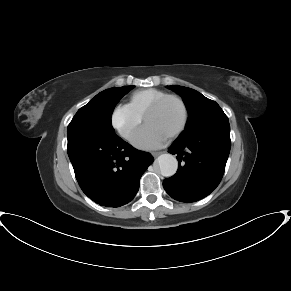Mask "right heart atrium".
<instances>
[{
  "label": "right heart atrium",
  "instance_id": "1",
  "mask_svg": "<svg viewBox=\"0 0 291 291\" xmlns=\"http://www.w3.org/2000/svg\"><path fill=\"white\" fill-rule=\"evenodd\" d=\"M141 122L142 116L129 104L116 105L111 114L113 128L126 140H131Z\"/></svg>",
  "mask_w": 291,
  "mask_h": 291
}]
</instances>
